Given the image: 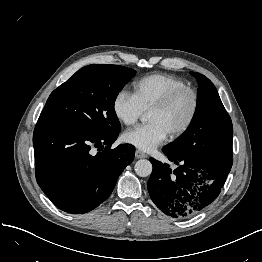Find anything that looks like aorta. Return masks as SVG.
<instances>
[{
    "mask_svg": "<svg viewBox=\"0 0 262 262\" xmlns=\"http://www.w3.org/2000/svg\"><path fill=\"white\" fill-rule=\"evenodd\" d=\"M135 172L140 177H147L152 173V164L149 160L141 159L135 163Z\"/></svg>",
    "mask_w": 262,
    "mask_h": 262,
    "instance_id": "aorta-1",
    "label": "aorta"
}]
</instances>
